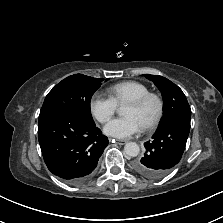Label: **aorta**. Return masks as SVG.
<instances>
[{"instance_id": "aorta-1", "label": "aorta", "mask_w": 223, "mask_h": 223, "mask_svg": "<svg viewBox=\"0 0 223 223\" xmlns=\"http://www.w3.org/2000/svg\"><path fill=\"white\" fill-rule=\"evenodd\" d=\"M140 152L139 145L135 142H128L124 146V153L129 157H136Z\"/></svg>"}]
</instances>
